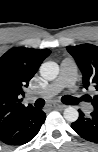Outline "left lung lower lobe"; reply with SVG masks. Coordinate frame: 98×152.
Returning <instances> with one entry per match:
<instances>
[{"label": "left lung lower lobe", "instance_id": "1", "mask_svg": "<svg viewBox=\"0 0 98 152\" xmlns=\"http://www.w3.org/2000/svg\"><path fill=\"white\" fill-rule=\"evenodd\" d=\"M71 127L84 139L96 142L98 140V111L94 110L86 116L79 110V118L71 124Z\"/></svg>", "mask_w": 98, "mask_h": 152}]
</instances>
